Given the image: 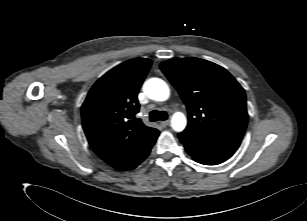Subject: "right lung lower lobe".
<instances>
[{
	"instance_id": "1",
	"label": "right lung lower lobe",
	"mask_w": 307,
	"mask_h": 221,
	"mask_svg": "<svg viewBox=\"0 0 307 221\" xmlns=\"http://www.w3.org/2000/svg\"><path fill=\"white\" fill-rule=\"evenodd\" d=\"M158 135L159 132H157L142 148L133 153L124 162L112 167L119 170H132L136 168L149 155L150 150L154 145Z\"/></svg>"
}]
</instances>
